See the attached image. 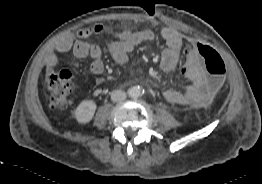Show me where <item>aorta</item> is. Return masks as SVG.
Segmentation results:
<instances>
[{
  "mask_svg": "<svg viewBox=\"0 0 262 184\" xmlns=\"http://www.w3.org/2000/svg\"><path fill=\"white\" fill-rule=\"evenodd\" d=\"M142 94L141 88L139 86H134L129 89V96L132 98H137Z\"/></svg>",
  "mask_w": 262,
  "mask_h": 184,
  "instance_id": "762f6f07",
  "label": "aorta"
}]
</instances>
